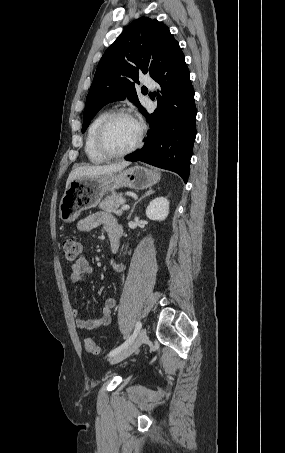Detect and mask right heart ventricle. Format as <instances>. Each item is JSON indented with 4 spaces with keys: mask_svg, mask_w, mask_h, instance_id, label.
<instances>
[{
    "mask_svg": "<svg viewBox=\"0 0 285 453\" xmlns=\"http://www.w3.org/2000/svg\"><path fill=\"white\" fill-rule=\"evenodd\" d=\"M108 111H101L99 112L91 121V123L88 126L87 132H86V137H85V144H84V150L86 153V156L88 160L91 163L94 164H100L103 163L107 160V157L102 155L99 150L97 149L96 146V133L97 129L102 122V120L106 117L108 114Z\"/></svg>",
    "mask_w": 285,
    "mask_h": 453,
    "instance_id": "right-heart-ventricle-1",
    "label": "right heart ventricle"
}]
</instances>
